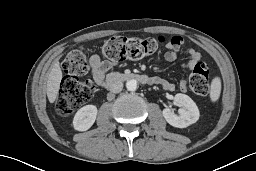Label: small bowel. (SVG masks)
I'll return each mask as SVG.
<instances>
[{"mask_svg": "<svg viewBox=\"0 0 256 171\" xmlns=\"http://www.w3.org/2000/svg\"><path fill=\"white\" fill-rule=\"evenodd\" d=\"M183 39L180 36H174L167 43V51L164 54V59L167 62H173L176 60L178 52L183 45ZM189 60L182 65L184 71L192 70L201 59L200 53L193 49H188ZM115 61L102 60L98 54H93L89 58V66L91 68V74L93 80L97 85H103L106 73L114 67ZM153 82L161 86L164 90L173 91L175 89V84L161 79L159 77H154ZM180 88L182 90L186 89V82L182 81L180 83Z\"/></svg>", "mask_w": 256, "mask_h": 171, "instance_id": "c3829d8e", "label": "small bowel"}]
</instances>
